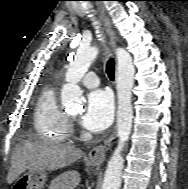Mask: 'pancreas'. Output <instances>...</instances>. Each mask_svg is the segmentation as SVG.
Here are the masks:
<instances>
[{"label":"pancreas","instance_id":"pancreas-1","mask_svg":"<svg viewBox=\"0 0 188 189\" xmlns=\"http://www.w3.org/2000/svg\"><path fill=\"white\" fill-rule=\"evenodd\" d=\"M61 176L56 178L49 186V189H57L60 187L59 182H60Z\"/></svg>","mask_w":188,"mask_h":189}]
</instances>
